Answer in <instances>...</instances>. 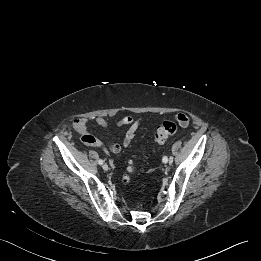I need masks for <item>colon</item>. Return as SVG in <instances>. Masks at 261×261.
<instances>
[{"instance_id": "5ec220e1", "label": "colon", "mask_w": 261, "mask_h": 261, "mask_svg": "<svg viewBox=\"0 0 261 261\" xmlns=\"http://www.w3.org/2000/svg\"><path fill=\"white\" fill-rule=\"evenodd\" d=\"M188 119L184 116H175L173 120L164 121L154 134V139L158 143H164L170 136L177 132L178 125H187ZM130 174L123 178L124 184H130L133 180V168L129 170Z\"/></svg>"}]
</instances>
